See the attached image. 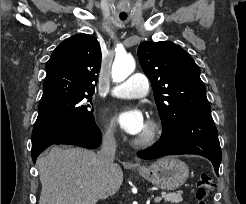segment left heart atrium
I'll return each instance as SVG.
<instances>
[{"label":"left heart atrium","mask_w":246,"mask_h":204,"mask_svg":"<svg viewBox=\"0 0 246 204\" xmlns=\"http://www.w3.org/2000/svg\"><path fill=\"white\" fill-rule=\"evenodd\" d=\"M116 121L126 133L139 135L146 127L143 112L137 107H124L116 114Z\"/></svg>","instance_id":"1"}]
</instances>
